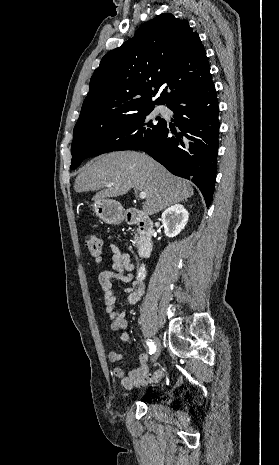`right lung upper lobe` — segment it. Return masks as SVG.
<instances>
[{"instance_id":"1","label":"right lung upper lobe","mask_w":279,"mask_h":465,"mask_svg":"<svg viewBox=\"0 0 279 465\" xmlns=\"http://www.w3.org/2000/svg\"><path fill=\"white\" fill-rule=\"evenodd\" d=\"M210 77L198 34L186 20L163 13L102 58L75 126L100 125L154 104H168Z\"/></svg>"}]
</instances>
